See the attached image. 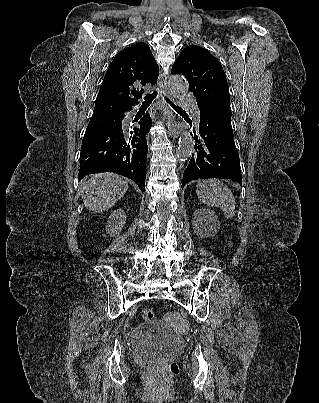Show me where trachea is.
I'll return each instance as SVG.
<instances>
[{"label":"trachea","instance_id":"obj_1","mask_svg":"<svg viewBox=\"0 0 319 403\" xmlns=\"http://www.w3.org/2000/svg\"><path fill=\"white\" fill-rule=\"evenodd\" d=\"M156 96H157V91H154L152 94L145 96L144 97L145 101L142 103V105H150ZM165 99H166V102L169 103L174 109L181 110V108L174 105L167 97H165Z\"/></svg>","mask_w":319,"mask_h":403}]
</instances>
